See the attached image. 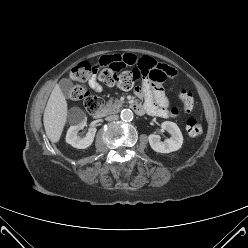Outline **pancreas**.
Segmentation results:
<instances>
[{
	"label": "pancreas",
	"instance_id": "1",
	"mask_svg": "<svg viewBox=\"0 0 248 248\" xmlns=\"http://www.w3.org/2000/svg\"><path fill=\"white\" fill-rule=\"evenodd\" d=\"M121 106L122 102L116 99L108 101L105 108L108 111L117 112Z\"/></svg>",
	"mask_w": 248,
	"mask_h": 248
}]
</instances>
